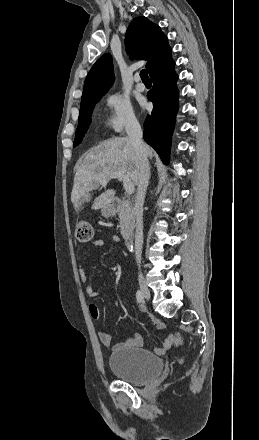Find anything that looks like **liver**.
<instances>
[{"instance_id":"1","label":"liver","mask_w":259,"mask_h":440,"mask_svg":"<svg viewBox=\"0 0 259 440\" xmlns=\"http://www.w3.org/2000/svg\"><path fill=\"white\" fill-rule=\"evenodd\" d=\"M147 147V158L152 159L153 150ZM123 171L132 181L138 183L139 155L128 137L108 139L93 148L76 171L71 201L75 209L89 202L91 192L99 187L101 181L109 179L111 173ZM115 190L109 189L97 197L92 209L97 210L109 205L115 197Z\"/></svg>"}]
</instances>
